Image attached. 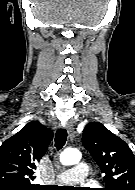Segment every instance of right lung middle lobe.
Returning <instances> with one entry per match:
<instances>
[{
	"mask_svg": "<svg viewBox=\"0 0 135 190\" xmlns=\"http://www.w3.org/2000/svg\"><path fill=\"white\" fill-rule=\"evenodd\" d=\"M37 187H18L11 185H2L0 186V190H38Z\"/></svg>",
	"mask_w": 135,
	"mask_h": 190,
	"instance_id": "dd1d6c3e",
	"label": "right lung middle lobe"
}]
</instances>
